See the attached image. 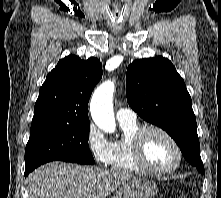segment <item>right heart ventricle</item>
I'll use <instances>...</instances> for the list:
<instances>
[{"label": "right heart ventricle", "instance_id": "e07e8e85", "mask_svg": "<svg viewBox=\"0 0 221 198\" xmlns=\"http://www.w3.org/2000/svg\"><path fill=\"white\" fill-rule=\"evenodd\" d=\"M122 137L111 142L108 165L119 171L143 173L145 172L136 162L133 154L132 140L141 126L134 122H119Z\"/></svg>", "mask_w": 221, "mask_h": 198}]
</instances>
